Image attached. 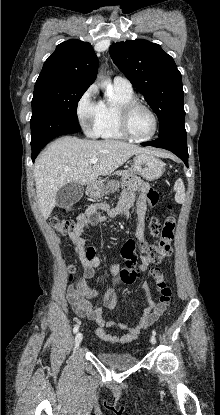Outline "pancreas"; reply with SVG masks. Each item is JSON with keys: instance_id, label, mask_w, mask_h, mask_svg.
Masks as SVG:
<instances>
[{"instance_id": "pancreas-1", "label": "pancreas", "mask_w": 220, "mask_h": 415, "mask_svg": "<svg viewBox=\"0 0 220 415\" xmlns=\"http://www.w3.org/2000/svg\"><path fill=\"white\" fill-rule=\"evenodd\" d=\"M115 174H116L117 176H124V174H125V173H124V172H122V171H121V172L119 171V172H116Z\"/></svg>"}]
</instances>
